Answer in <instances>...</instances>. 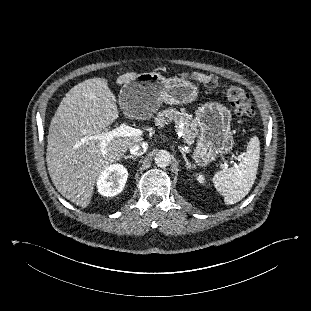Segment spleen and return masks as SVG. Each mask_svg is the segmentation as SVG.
Listing matches in <instances>:
<instances>
[{
	"instance_id": "obj_1",
	"label": "spleen",
	"mask_w": 311,
	"mask_h": 311,
	"mask_svg": "<svg viewBox=\"0 0 311 311\" xmlns=\"http://www.w3.org/2000/svg\"><path fill=\"white\" fill-rule=\"evenodd\" d=\"M259 159L260 142L259 138L254 136L250 139L239 165L215 173L213 184L224 196L226 204H235L249 193L256 179Z\"/></svg>"
}]
</instances>
